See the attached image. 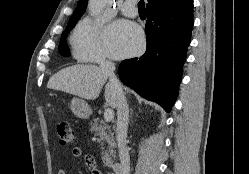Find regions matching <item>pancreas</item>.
<instances>
[{
    "label": "pancreas",
    "mask_w": 249,
    "mask_h": 174,
    "mask_svg": "<svg viewBox=\"0 0 249 174\" xmlns=\"http://www.w3.org/2000/svg\"><path fill=\"white\" fill-rule=\"evenodd\" d=\"M91 131L95 132V135L99 137L98 141L101 143L102 160L104 164L108 167H112L116 157V143L114 140V134L110 130V127L103 121H100L99 118H96L91 122ZM106 144L107 147H105Z\"/></svg>",
    "instance_id": "1"
}]
</instances>
